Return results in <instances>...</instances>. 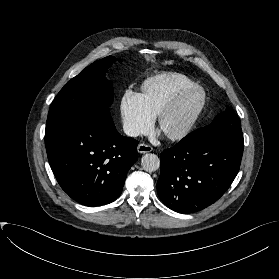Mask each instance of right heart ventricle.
I'll return each instance as SVG.
<instances>
[{"label": "right heart ventricle", "mask_w": 279, "mask_h": 279, "mask_svg": "<svg viewBox=\"0 0 279 279\" xmlns=\"http://www.w3.org/2000/svg\"><path fill=\"white\" fill-rule=\"evenodd\" d=\"M197 86L188 76L161 73L146 79L141 86L142 99L153 116H157L182 91Z\"/></svg>", "instance_id": "1"}]
</instances>
